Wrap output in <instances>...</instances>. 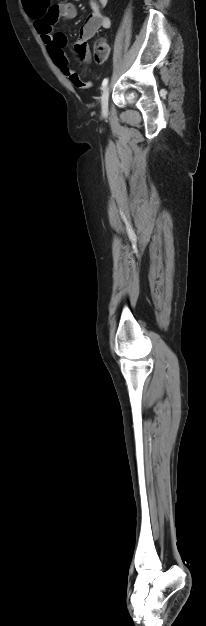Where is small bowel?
Here are the masks:
<instances>
[{
	"label": "small bowel",
	"mask_w": 206,
	"mask_h": 626,
	"mask_svg": "<svg viewBox=\"0 0 206 626\" xmlns=\"http://www.w3.org/2000/svg\"><path fill=\"white\" fill-rule=\"evenodd\" d=\"M108 0H89L91 13L79 31L74 44L76 53L84 62L90 61L88 40L100 29H108L111 20L101 13ZM27 14L34 20V26L39 33L47 51L61 73L77 88L88 89L92 86L90 81L83 79L69 66L67 56L63 50L67 37L61 31H54L53 24L60 21L74 19L77 15L76 7L72 3H60L51 5L49 0H31L24 3Z\"/></svg>",
	"instance_id": "obj_1"
}]
</instances>
